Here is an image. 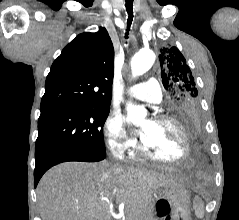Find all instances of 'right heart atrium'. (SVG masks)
Segmentation results:
<instances>
[{
    "instance_id": "right-heart-atrium-1",
    "label": "right heart atrium",
    "mask_w": 239,
    "mask_h": 220,
    "mask_svg": "<svg viewBox=\"0 0 239 220\" xmlns=\"http://www.w3.org/2000/svg\"><path fill=\"white\" fill-rule=\"evenodd\" d=\"M104 135L109 150L116 157H122L136 145L125 130L124 117L116 111L111 112L104 124Z\"/></svg>"
}]
</instances>
